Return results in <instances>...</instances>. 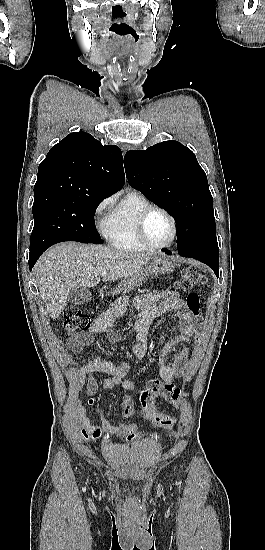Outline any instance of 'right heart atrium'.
<instances>
[{
    "label": "right heart atrium",
    "instance_id": "obj_1",
    "mask_svg": "<svg viewBox=\"0 0 265 550\" xmlns=\"http://www.w3.org/2000/svg\"><path fill=\"white\" fill-rule=\"evenodd\" d=\"M111 202H112L111 198L103 199L96 207V210H95L96 217L101 216ZM102 229H103V226H102Z\"/></svg>",
    "mask_w": 265,
    "mask_h": 550
}]
</instances>
